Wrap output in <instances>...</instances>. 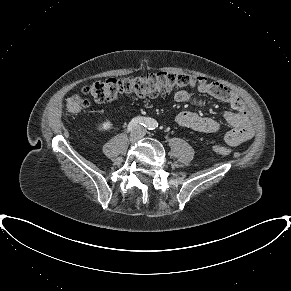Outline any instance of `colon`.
Segmentation results:
<instances>
[{
  "label": "colon",
  "mask_w": 291,
  "mask_h": 291,
  "mask_svg": "<svg viewBox=\"0 0 291 291\" xmlns=\"http://www.w3.org/2000/svg\"><path fill=\"white\" fill-rule=\"evenodd\" d=\"M209 84L204 77H192L187 74L170 72L151 73L131 78H108L97 80L85 86L82 93L96 102H112L125 96L157 97L186 87H200ZM90 106V101L75 95L67 100L66 112L74 115ZM213 152L229 156L232 149L223 145L213 144Z\"/></svg>",
  "instance_id": "obj_1"
}]
</instances>
